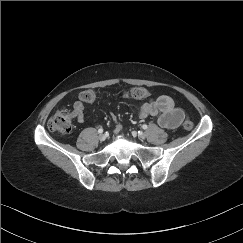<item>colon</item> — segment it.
<instances>
[{
    "mask_svg": "<svg viewBox=\"0 0 243 243\" xmlns=\"http://www.w3.org/2000/svg\"><path fill=\"white\" fill-rule=\"evenodd\" d=\"M127 95L133 99H144L148 96L145 88L136 87L127 91ZM81 100L86 103H93L96 101V94L92 90H86L81 93ZM183 128L190 130L193 127V122L189 118L183 121ZM48 127L50 130L60 133L68 134L72 130L70 114L66 109L56 111L48 120Z\"/></svg>",
    "mask_w": 243,
    "mask_h": 243,
    "instance_id": "1",
    "label": "colon"
}]
</instances>
